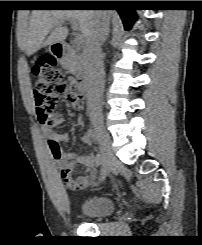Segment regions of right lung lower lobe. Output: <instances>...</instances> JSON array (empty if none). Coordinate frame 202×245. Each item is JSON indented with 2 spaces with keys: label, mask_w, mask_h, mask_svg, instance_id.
I'll return each mask as SVG.
<instances>
[{
  "label": "right lung lower lobe",
  "mask_w": 202,
  "mask_h": 245,
  "mask_svg": "<svg viewBox=\"0 0 202 245\" xmlns=\"http://www.w3.org/2000/svg\"><path fill=\"white\" fill-rule=\"evenodd\" d=\"M129 1H83L81 6L86 7H115L120 14L126 30L131 29L136 21L135 10L129 8Z\"/></svg>",
  "instance_id": "right-lung-lower-lobe-1"
}]
</instances>
